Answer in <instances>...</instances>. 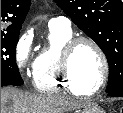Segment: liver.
<instances>
[{"label": "liver", "mask_w": 123, "mask_h": 113, "mask_svg": "<svg viewBox=\"0 0 123 113\" xmlns=\"http://www.w3.org/2000/svg\"><path fill=\"white\" fill-rule=\"evenodd\" d=\"M82 106L62 95L33 94L15 87L1 88V113H65Z\"/></svg>", "instance_id": "obj_1"}]
</instances>
